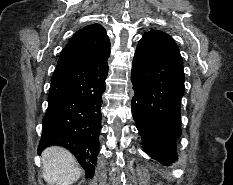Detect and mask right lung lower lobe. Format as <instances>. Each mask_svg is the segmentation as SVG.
Segmentation results:
<instances>
[{"instance_id": "right-lung-lower-lobe-1", "label": "right lung lower lobe", "mask_w": 233, "mask_h": 185, "mask_svg": "<svg viewBox=\"0 0 233 185\" xmlns=\"http://www.w3.org/2000/svg\"><path fill=\"white\" fill-rule=\"evenodd\" d=\"M108 63L68 66L54 71L38 152L51 145L68 148L86 172L94 174L99 153L101 95Z\"/></svg>"}]
</instances>
